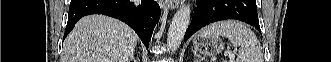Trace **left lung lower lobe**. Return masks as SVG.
Wrapping results in <instances>:
<instances>
[{
    "label": "left lung lower lobe",
    "instance_id": "0a47b994",
    "mask_svg": "<svg viewBox=\"0 0 331 62\" xmlns=\"http://www.w3.org/2000/svg\"><path fill=\"white\" fill-rule=\"evenodd\" d=\"M197 8L184 41L204 26L225 19H237L260 31L256 0H196Z\"/></svg>",
    "mask_w": 331,
    "mask_h": 62
}]
</instances>
